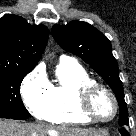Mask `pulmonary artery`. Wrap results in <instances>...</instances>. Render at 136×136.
Instances as JSON below:
<instances>
[{"label":"pulmonary artery","mask_w":136,"mask_h":136,"mask_svg":"<svg viewBox=\"0 0 136 136\" xmlns=\"http://www.w3.org/2000/svg\"><path fill=\"white\" fill-rule=\"evenodd\" d=\"M60 61H75L72 57L66 56V55H62L60 57Z\"/></svg>","instance_id":"e3ab8cb5"}]
</instances>
